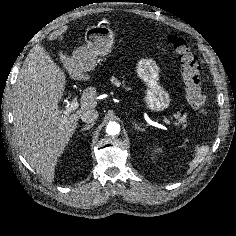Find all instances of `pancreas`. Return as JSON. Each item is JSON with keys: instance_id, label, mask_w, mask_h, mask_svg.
<instances>
[{"instance_id": "cf45deb5", "label": "pancreas", "mask_w": 236, "mask_h": 236, "mask_svg": "<svg viewBox=\"0 0 236 236\" xmlns=\"http://www.w3.org/2000/svg\"><path fill=\"white\" fill-rule=\"evenodd\" d=\"M112 83L115 84V85H117L118 83H119V84L122 83L123 86H125V81L119 82L117 79H113V80H112ZM175 117L179 119V122H180L181 124L187 122L185 116L180 117V113L175 114Z\"/></svg>"}]
</instances>
